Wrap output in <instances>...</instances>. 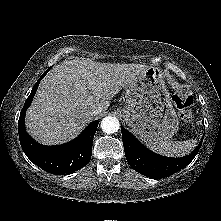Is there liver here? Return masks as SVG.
I'll use <instances>...</instances> for the list:
<instances>
[{"label":"liver","mask_w":221,"mask_h":221,"mask_svg":"<svg viewBox=\"0 0 221 221\" xmlns=\"http://www.w3.org/2000/svg\"><path fill=\"white\" fill-rule=\"evenodd\" d=\"M147 69L142 64L84 58L61 62L41 81L26 112L28 133L44 145L74 139L91 122L93 107L107 110L109 101Z\"/></svg>","instance_id":"1"}]
</instances>
